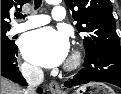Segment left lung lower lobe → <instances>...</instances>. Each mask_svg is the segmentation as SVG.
I'll list each match as a JSON object with an SVG mask.
<instances>
[{
    "mask_svg": "<svg viewBox=\"0 0 121 94\" xmlns=\"http://www.w3.org/2000/svg\"><path fill=\"white\" fill-rule=\"evenodd\" d=\"M91 81L107 82L121 88V52L92 51L86 53L83 68L73 79L65 82L68 88Z\"/></svg>",
    "mask_w": 121,
    "mask_h": 94,
    "instance_id": "0a47b994",
    "label": "left lung lower lobe"
}]
</instances>
